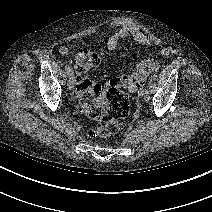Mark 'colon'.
<instances>
[{
	"label": "colon",
	"instance_id": "1",
	"mask_svg": "<svg viewBox=\"0 0 212 212\" xmlns=\"http://www.w3.org/2000/svg\"><path fill=\"white\" fill-rule=\"evenodd\" d=\"M100 61L99 54L88 49H82L75 55L81 109L86 117L96 121L97 124L88 131L91 137L96 138L119 132L123 121L129 116L131 105L122 87L138 89L145 82V77L138 74L122 75L102 87L89 77Z\"/></svg>",
	"mask_w": 212,
	"mask_h": 212
}]
</instances>
